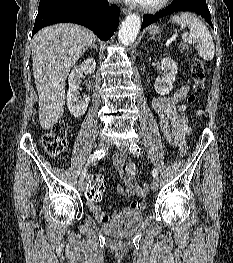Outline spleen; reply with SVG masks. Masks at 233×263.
<instances>
[{
	"label": "spleen",
	"instance_id": "3e777b00",
	"mask_svg": "<svg viewBox=\"0 0 233 263\" xmlns=\"http://www.w3.org/2000/svg\"><path fill=\"white\" fill-rule=\"evenodd\" d=\"M170 21L188 27L191 39L197 43L198 55L204 60L213 59L215 53L214 42L208 28L200 19L186 12L174 15Z\"/></svg>",
	"mask_w": 233,
	"mask_h": 263
}]
</instances>
